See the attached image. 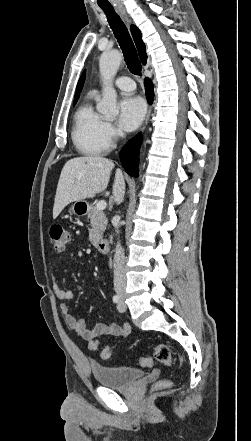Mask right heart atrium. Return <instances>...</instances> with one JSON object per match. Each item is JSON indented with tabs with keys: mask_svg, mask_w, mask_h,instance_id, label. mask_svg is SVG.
Segmentation results:
<instances>
[{
	"mask_svg": "<svg viewBox=\"0 0 251 441\" xmlns=\"http://www.w3.org/2000/svg\"><path fill=\"white\" fill-rule=\"evenodd\" d=\"M105 133L109 141L112 142L116 136V130L114 126L109 122L105 123Z\"/></svg>",
	"mask_w": 251,
	"mask_h": 441,
	"instance_id": "obj_1",
	"label": "right heart atrium"
}]
</instances>
